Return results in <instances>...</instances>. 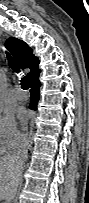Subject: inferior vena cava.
Wrapping results in <instances>:
<instances>
[{
	"instance_id": "602c4592",
	"label": "inferior vena cava",
	"mask_w": 89,
	"mask_h": 203,
	"mask_svg": "<svg viewBox=\"0 0 89 203\" xmlns=\"http://www.w3.org/2000/svg\"><path fill=\"white\" fill-rule=\"evenodd\" d=\"M28 147H29L28 138L26 136L19 137L18 138V144H17V150H16L15 155H14V158L18 162L17 170L19 173V178L17 180V183L19 182V180L21 178L23 165H24L25 160L28 157Z\"/></svg>"
}]
</instances>
